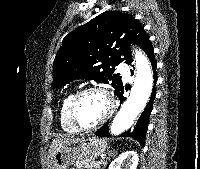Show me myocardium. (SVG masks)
Listing matches in <instances>:
<instances>
[{"label": "myocardium", "instance_id": "f54148a6", "mask_svg": "<svg viewBox=\"0 0 200 169\" xmlns=\"http://www.w3.org/2000/svg\"><path fill=\"white\" fill-rule=\"evenodd\" d=\"M90 92H99L106 98L107 111H106L105 115L102 117V119L95 125L90 126V127H82L78 123L77 118H76V106H77L79 100L84 95H86L87 93H90ZM114 111H115V99H114L112 93L107 88H105L103 86H99V85L87 86V87L81 89L80 91H78L73 96V98L69 104V109H68L70 121H71L72 125L79 132H92L94 130H97L98 128L103 126L110 119V117L113 115Z\"/></svg>", "mask_w": 200, "mask_h": 169}]
</instances>
